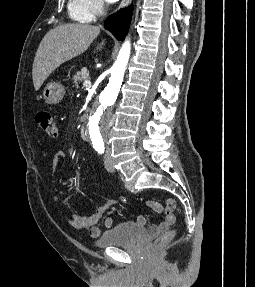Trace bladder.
<instances>
[{"mask_svg": "<svg viewBox=\"0 0 255 287\" xmlns=\"http://www.w3.org/2000/svg\"><path fill=\"white\" fill-rule=\"evenodd\" d=\"M147 233V228L132 221L120 222L105 231L96 240L98 247H112L131 244Z\"/></svg>", "mask_w": 255, "mask_h": 287, "instance_id": "1", "label": "bladder"}]
</instances>
